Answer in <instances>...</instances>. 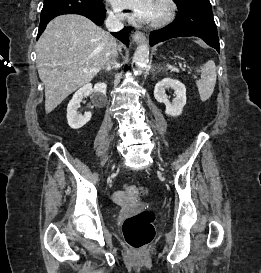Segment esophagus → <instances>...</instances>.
Returning a JSON list of instances; mask_svg holds the SVG:
<instances>
[{"label": "esophagus", "mask_w": 261, "mask_h": 273, "mask_svg": "<svg viewBox=\"0 0 261 273\" xmlns=\"http://www.w3.org/2000/svg\"><path fill=\"white\" fill-rule=\"evenodd\" d=\"M132 38L137 44H141V43L145 42V40H146V36L141 31L134 32L132 35Z\"/></svg>", "instance_id": "esophagus-1"}]
</instances>
